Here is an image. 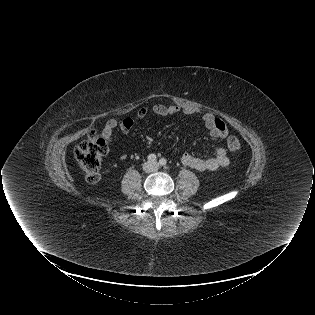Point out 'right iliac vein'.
Listing matches in <instances>:
<instances>
[{
    "label": "right iliac vein",
    "instance_id": "right-iliac-vein-1",
    "mask_svg": "<svg viewBox=\"0 0 315 315\" xmlns=\"http://www.w3.org/2000/svg\"><path fill=\"white\" fill-rule=\"evenodd\" d=\"M150 168H151V163L148 162V163L144 164V169L145 170H149Z\"/></svg>",
    "mask_w": 315,
    "mask_h": 315
}]
</instances>
